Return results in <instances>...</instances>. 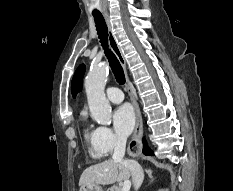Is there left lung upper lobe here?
Wrapping results in <instances>:
<instances>
[{
    "label": "left lung upper lobe",
    "instance_id": "obj_1",
    "mask_svg": "<svg viewBox=\"0 0 233 191\" xmlns=\"http://www.w3.org/2000/svg\"><path fill=\"white\" fill-rule=\"evenodd\" d=\"M84 73H85L84 65H80L75 71V74L73 76L72 83H71V91H72V95L74 98L76 97L77 93L80 92L82 89V79H83Z\"/></svg>",
    "mask_w": 233,
    "mask_h": 191
}]
</instances>
